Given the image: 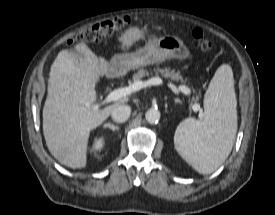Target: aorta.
<instances>
[{"mask_svg":"<svg viewBox=\"0 0 275 215\" xmlns=\"http://www.w3.org/2000/svg\"><path fill=\"white\" fill-rule=\"evenodd\" d=\"M145 118L149 124H156L160 119V112L158 109L151 108L146 111Z\"/></svg>","mask_w":275,"mask_h":215,"instance_id":"762f6f07","label":"aorta"}]
</instances>
